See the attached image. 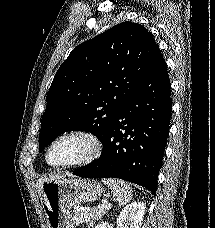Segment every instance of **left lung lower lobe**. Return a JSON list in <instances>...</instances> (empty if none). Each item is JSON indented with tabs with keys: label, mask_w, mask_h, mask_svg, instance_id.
Wrapping results in <instances>:
<instances>
[{
	"label": "left lung lower lobe",
	"mask_w": 215,
	"mask_h": 228,
	"mask_svg": "<svg viewBox=\"0 0 215 228\" xmlns=\"http://www.w3.org/2000/svg\"><path fill=\"white\" fill-rule=\"evenodd\" d=\"M170 89L167 66L160 52L145 78L119 109L102 142L100 158L73 174L123 179L155 195L170 128Z\"/></svg>",
	"instance_id": "obj_1"
}]
</instances>
